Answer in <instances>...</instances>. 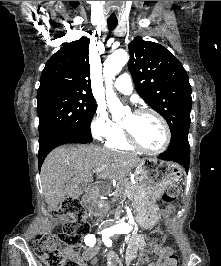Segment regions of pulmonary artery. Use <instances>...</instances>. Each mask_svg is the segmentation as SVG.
I'll list each match as a JSON object with an SVG mask.
<instances>
[{"mask_svg":"<svg viewBox=\"0 0 221 266\" xmlns=\"http://www.w3.org/2000/svg\"><path fill=\"white\" fill-rule=\"evenodd\" d=\"M113 87L116 91L122 94H131L133 91V86L130 75L127 73L121 74L114 82Z\"/></svg>","mask_w":221,"mask_h":266,"instance_id":"pulmonary-artery-1","label":"pulmonary artery"}]
</instances>
